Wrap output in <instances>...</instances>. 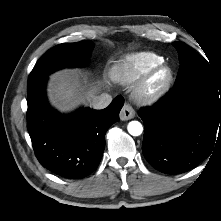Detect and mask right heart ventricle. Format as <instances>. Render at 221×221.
<instances>
[{
    "instance_id": "1",
    "label": "right heart ventricle",
    "mask_w": 221,
    "mask_h": 221,
    "mask_svg": "<svg viewBox=\"0 0 221 221\" xmlns=\"http://www.w3.org/2000/svg\"><path fill=\"white\" fill-rule=\"evenodd\" d=\"M162 62L164 58L154 52L128 54L114 64L111 75L118 83L131 85L140 80L149 69Z\"/></svg>"
}]
</instances>
